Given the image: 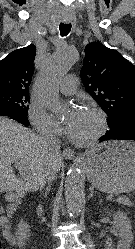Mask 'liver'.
Listing matches in <instances>:
<instances>
[{
  "label": "liver",
  "mask_w": 135,
  "mask_h": 249,
  "mask_svg": "<svg viewBox=\"0 0 135 249\" xmlns=\"http://www.w3.org/2000/svg\"><path fill=\"white\" fill-rule=\"evenodd\" d=\"M62 158L53 155L41 137L16 121L0 117V194L12 191L36 190L39 180L52 165L60 170ZM22 163L21 177L13 172L11 165Z\"/></svg>",
  "instance_id": "liver-1"
}]
</instances>
